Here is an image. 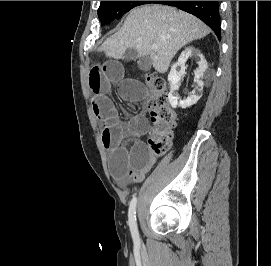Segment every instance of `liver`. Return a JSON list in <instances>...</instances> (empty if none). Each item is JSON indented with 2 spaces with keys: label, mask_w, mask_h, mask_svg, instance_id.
Segmentation results:
<instances>
[{
  "label": "liver",
  "mask_w": 271,
  "mask_h": 266,
  "mask_svg": "<svg viewBox=\"0 0 271 266\" xmlns=\"http://www.w3.org/2000/svg\"><path fill=\"white\" fill-rule=\"evenodd\" d=\"M209 33L210 29L191 14L165 5H144L130 12L101 49L114 59H123L126 51L133 49L138 57L149 56L154 69L165 73L180 48ZM153 45L158 49H152Z\"/></svg>",
  "instance_id": "6515ba94"
}]
</instances>
